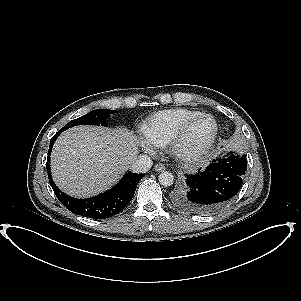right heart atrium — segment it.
<instances>
[{
	"label": "right heart atrium",
	"mask_w": 301,
	"mask_h": 301,
	"mask_svg": "<svg viewBox=\"0 0 301 301\" xmlns=\"http://www.w3.org/2000/svg\"><path fill=\"white\" fill-rule=\"evenodd\" d=\"M139 145L143 150H145L148 153L154 152V146L146 139L140 138Z\"/></svg>",
	"instance_id": "d8ad5b80"
}]
</instances>
